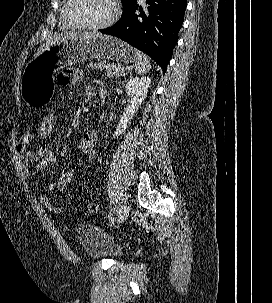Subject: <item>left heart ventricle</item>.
<instances>
[{"label": "left heart ventricle", "mask_w": 272, "mask_h": 303, "mask_svg": "<svg viewBox=\"0 0 272 303\" xmlns=\"http://www.w3.org/2000/svg\"><path fill=\"white\" fill-rule=\"evenodd\" d=\"M111 12L110 0H75L70 10L74 20L89 25L105 22Z\"/></svg>", "instance_id": "obj_1"}]
</instances>
